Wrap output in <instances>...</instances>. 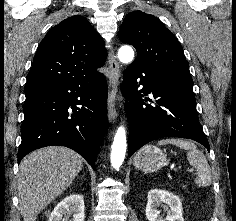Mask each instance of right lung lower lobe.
<instances>
[{"mask_svg":"<svg viewBox=\"0 0 236 221\" xmlns=\"http://www.w3.org/2000/svg\"><path fill=\"white\" fill-rule=\"evenodd\" d=\"M18 163L35 149L61 145L95 169L107 129V83L103 74L67 79L25 91Z\"/></svg>","mask_w":236,"mask_h":221,"instance_id":"obj_1","label":"right lung lower lobe"}]
</instances>
